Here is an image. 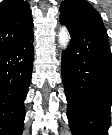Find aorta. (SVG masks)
Listing matches in <instances>:
<instances>
[{"label": "aorta", "mask_w": 112, "mask_h": 135, "mask_svg": "<svg viewBox=\"0 0 112 135\" xmlns=\"http://www.w3.org/2000/svg\"><path fill=\"white\" fill-rule=\"evenodd\" d=\"M58 39L59 43L61 44L62 48H67L69 43V33L66 29V27L62 26L60 27V30L58 32Z\"/></svg>", "instance_id": "aorta-1"}]
</instances>
